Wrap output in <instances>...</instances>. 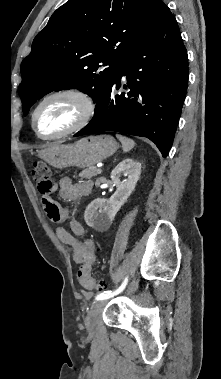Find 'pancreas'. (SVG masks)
<instances>
[{"label":"pancreas","instance_id":"cf45deb5","mask_svg":"<svg viewBox=\"0 0 221 379\" xmlns=\"http://www.w3.org/2000/svg\"><path fill=\"white\" fill-rule=\"evenodd\" d=\"M98 173H97V169L96 167L92 166V167H88L86 169H84L81 173H80V176L82 178H92L94 176H96Z\"/></svg>","mask_w":221,"mask_h":379}]
</instances>
